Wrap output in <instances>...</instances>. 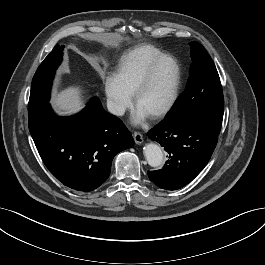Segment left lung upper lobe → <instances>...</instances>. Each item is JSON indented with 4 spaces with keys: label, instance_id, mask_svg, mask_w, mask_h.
Here are the masks:
<instances>
[{
    "label": "left lung upper lobe",
    "instance_id": "obj_1",
    "mask_svg": "<svg viewBox=\"0 0 265 265\" xmlns=\"http://www.w3.org/2000/svg\"><path fill=\"white\" fill-rule=\"evenodd\" d=\"M192 64L186 89L165 119L190 117L220 132L224 113V98L220 78L205 48L190 42Z\"/></svg>",
    "mask_w": 265,
    "mask_h": 265
}]
</instances>
